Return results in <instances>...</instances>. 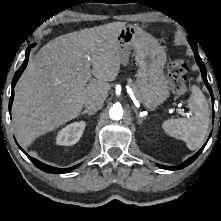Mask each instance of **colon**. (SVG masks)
Masks as SVG:
<instances>
[{
	"label": "colon",
	"instance_id": "colon-1",
	"mask_svg": "<svg viewBox=\"0 0 221 221\" xmlns=\"http://www.w3.org/2000/svg\"><path fill=\"white\" fill-rule=\"evenodd\" d=\"M188 66L182 59L170 62L168 66V77L172 90L175 93L183 94L186 92V73Z\"/></svg>",
	"mask_w": 221,
	"mask_h": 221
}]
</instances>
